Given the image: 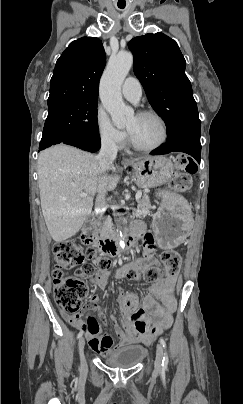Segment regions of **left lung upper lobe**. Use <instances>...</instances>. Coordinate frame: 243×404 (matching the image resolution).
<instances>
[{
	"label": "left lung upper lobe",
	"instance_id": "left-lung-upper-lobe-1",
	"mask_svg": "<svg viewBox=\"0 0 243 404\" xmlns=\"http://www.w3.org/2000/svg\"><path fill=\"white\" fill-rule=\"evenodd\" d=\"M128 46L134 55V73L151 106L165 121L167 133L182 125L201 126L177 43L163 33H155L136 37Z\"/></svg>",
	"mask_w": 243,
	"mask_h": 404
}]
</instances>
